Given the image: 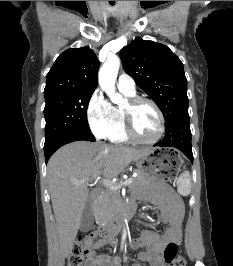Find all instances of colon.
<instances>
[{
	"mask_svg": "<svg viewBox=\"0 0 233 266\" xmlns=\"http://www.w3.org/2000/svg\"><path fill=\"white\" fill-rule=\"evenodd\" d=\"M95 238L94 234L79 237L67 258L68 266H85L84 259L90 250V243ZM164 260L169 266H186L185 258L178 253L176 244H168L164 250Z\"/></svg>",
	"mask_w": 233,
	"mask_h": 266,
	"instance_id": "obj_1",
	"label": "colon"
}]
</instances>
